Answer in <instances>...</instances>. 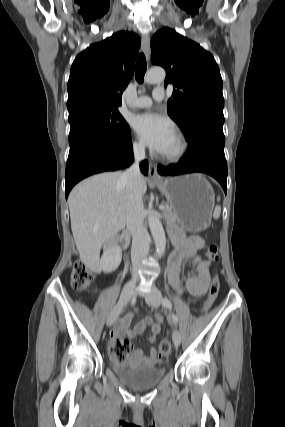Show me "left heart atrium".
<instances>
[{
	"label": "left heart atrium",
	"instance_id": "left-heart-atrium-1",
	"mask_svg": "<svg viewBox=\"0 0 285 427\" xmlns=\"http://www.w3.org/2000/svg\"><path fill=\"white\" fill-rule=\"evenodd\" d=\"M134 129L144 144L158 153L166 149L175 133L172 122L156 113L139 115L134 121Z\"/></svg>",
	"mask_w": 285,
	"mask_h": 427
}]
</instances>
